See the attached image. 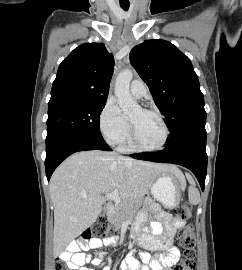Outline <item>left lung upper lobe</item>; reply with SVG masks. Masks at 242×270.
Wrapping results in <instances>:
<instances>
[{
  "label": "left lung upper lobe",
  "instance_id": "obj_1",
  "mask_svg": "<svg viewBox=\"0 0 242 270\" xmlns=\"http://www.w3.org/2000/svg\"><path fill=\"white\" fill-rule=\"evenodd\" d=\"M130 61L166 118L170 129L166 142L190 130L205 128L204 97L186 55L168 41L152 39L135 46Z\"/></svg>",
  "mask_w": 242,
  "mask_h": 270
}]
</instances>
